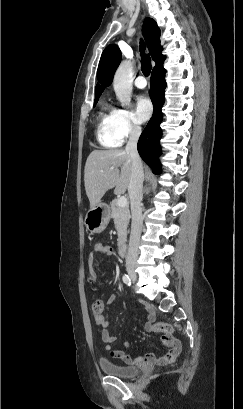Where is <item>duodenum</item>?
<instances>
[{"mask_svg":"<svg viewBox=\"0 0 243 409\" xmlns=\"http://www.w3.org/2000/svg\"><path fill=\"white\" fill-rule=\"evenodd\" d=\"M118 253L121 257H125L127 254V246L126 244L122 243L118 247Z\"/></svg>","mask_w":243,"mask_h":409,"instance_id":"1","label":"duodenum"}]
</instances>
